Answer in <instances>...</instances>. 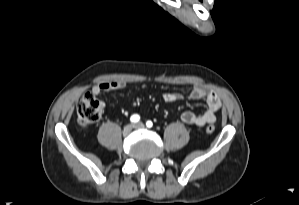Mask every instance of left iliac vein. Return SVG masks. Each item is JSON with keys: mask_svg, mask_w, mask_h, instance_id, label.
<instances>
[{"mask_svg": "<svg viewBox=\"0 0 299 205\" xmlns=\"http://www.w3.org/2000/svg\"><path fill=\"white\" fill-rule=\"evenodd\" d=\"M144 127H145L144 124L141 122L134 124V128L136 129H143Z\"/></svg>", "mask_w": 299, "mask_h": 205, "instance_id": "4c4485c4", "label": "left iliac vein"}]
</instances>
